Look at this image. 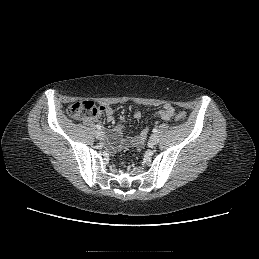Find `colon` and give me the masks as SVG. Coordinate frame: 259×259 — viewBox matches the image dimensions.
Returning a JSON list of instances; mask_svg holds the SVG:
<instances>
[{
  "mask_svg": "<svg viewBox=\"0 0 259 259\" xmlns=\"http://www.w3.org/2000/svg\"><path fill=\"white\" fill-rule=\"evenodd\" d=\"M99 110L100 107L93 101L83 100L70 105L67 113L74 119L92 118L98 115ZM174 117L177 121L183 122L186 120L187 115L184 111H177L174 113Z\"/></svg>",
  "mask_w": 259,
  "mask_h": 259,
  "instance_id": "obj_1",
  "label": "colon"
}]
</instances>
